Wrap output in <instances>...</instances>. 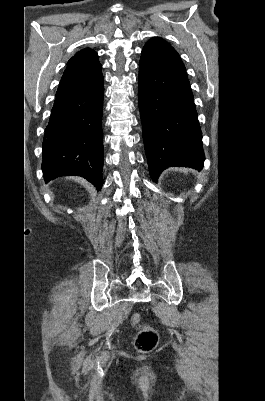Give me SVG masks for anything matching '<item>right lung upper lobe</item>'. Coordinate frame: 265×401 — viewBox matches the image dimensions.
Segmentation results:
<instances>
[{
	"mask_svg": "<svg viewBox=\"0 0 265 401\" xmlns=\"http://www.w3.org/2000/svg\"><path fill=\"white\" fill-rule=\"evenodd\" d=\"M102 80L97 53L90 48L82 49L68 61L56 97L92 89Z\"/></svg>",
	"mask_w": 265,
	"mask_h": 401,
	"instance_id": "obj_1",
	"label": "right lung upper lobe"
}]
</instances>
